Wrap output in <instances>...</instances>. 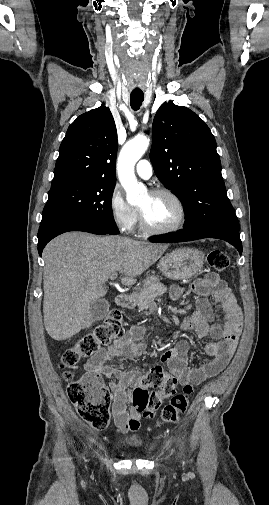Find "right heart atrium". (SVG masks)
<instances>
[{
  "label": "right heart atrium",
  "mask_w": 269,
  "mask_h": 505,
  "mask_svg": "<svg viewBox=\"0 0 269 505\" xmlns=\"http://www.w3.org/2000/svg\"><path fill=\"white\" fill-rule=\"evenodd\" d=\"M109 211L116 226L123 232H131L137 221V210L129 205L123 193L115 187L109 198Z\"/></svg>",
  "instance_id": "right-heart-atrium-1"
}]
</instances>
